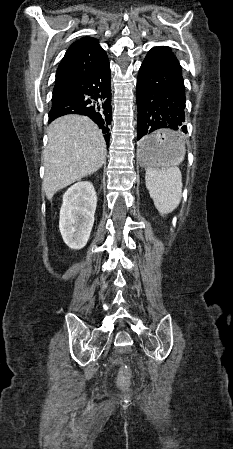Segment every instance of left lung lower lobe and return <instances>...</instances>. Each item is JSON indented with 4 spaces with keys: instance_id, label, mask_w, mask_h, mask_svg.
I'll return each instance as SVG.
<instances>
[{
    "instance_id": "obj_1",
    "label": "left lung lower lobe",
    "mask_w": 233,
    "mask_h": 449,
    "mask_svg": "<svg viewBox=\"0 0 233 449\" xmlns=\"http://www.w3.org/2000/svg\"><path fill=\"white\" fill-rule=\"evenodd\" d=\"M185 102L180 64L152 48L139 69L137 79V140L141 139L143 148L164 149L179 142V136L171 134L153 136L159 129L187 132L184 125Z\"/></svg>"
}]
</instances>
